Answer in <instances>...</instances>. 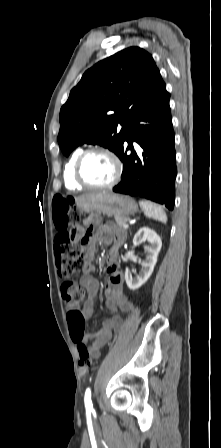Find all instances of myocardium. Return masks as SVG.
Segmentation results:
<instances>
[{"instance_id": "f54148a6", "label": "myocardium", "mask_w": 221, "mask_h": 448, "mask_svg": "<svg viewBox=\"0 0 221 448\" xmlns=\"http://www.w3.org/2000/svg\"><path fill=\"white\" fill-rule=\"evenodd\" d=\"M96 153H101V154L108 156L112 160L113 165H114V176L109 183L104 184V185L91 184L84 178V176L82 174V166H83L84 161L90 155L96 154ZM122 172H123L122 162L115 152H113L112 150H110L108 148H104V147H94V148H90V149L83 151L79 155V157L77 158V160L74 164L73 177H74L75 181L77 183H79L80 185H82L83 187L91 188V189H109V188L114 187L120 181Z\"/></svg>"}]
</instances>
